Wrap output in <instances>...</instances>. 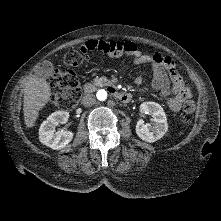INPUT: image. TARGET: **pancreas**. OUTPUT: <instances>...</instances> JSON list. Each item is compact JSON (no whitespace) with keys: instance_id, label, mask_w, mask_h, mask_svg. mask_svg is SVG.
Segmentation results:
<instances>
[{"instance_id":"1","label":"pancreas","mask_w":221,"mask_h":221,"mask_svg":"<svg viewBox=\"0 0 221 221\" xmlns=\"http://www.w3.org/2000/svg\"><path fill=\"white\" fill-rule=\"evenodd\" d=\"M95 86H106L110 84V81L106 77H96L94 79Z\"/></svg>"}]
</instances>
